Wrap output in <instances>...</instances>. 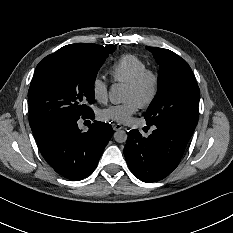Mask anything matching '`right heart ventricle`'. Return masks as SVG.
I'll return each instance as SVG.
<instances>
[{
    "instance_id": "right-heart-ventricle-1",
    "label": "right heart ventricle",
    "mask_w": 233,
    "mask_h": 233,
    "mask_svg": "<svg viewBox=\"0 0 233 233\" xmlns=\"http://www.w3.org/2000/svg\"><path fill=\"white\" fill-rule=\"evenodd\" d=\"M144 68L146 63L143 59L135 54H124L113 64L110 75L115 82L127 84Z\"/></svg>"
}]
</instances>
